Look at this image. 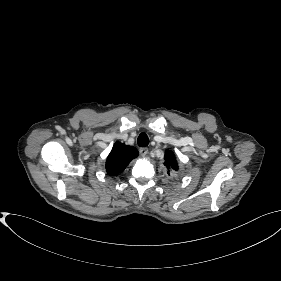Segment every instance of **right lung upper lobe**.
<instances>
[{"label": "right lung upper lobe", "instance_id": "obj_1", "mask_svg": "<svg viewBox=\"0 0 281 281\" xmlns=\"http://www.w3.org/2000/svg\"><path fill=\"white\" fill-rule=\"evenodd\" d=\"M138 154L136 148L116 142L107 157V173L111 176L121 173Z\"/></svg>", "mask_w": 281, "mask_h": 281}]
</instances>
